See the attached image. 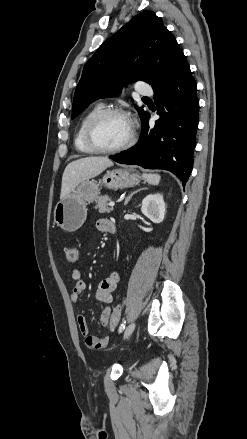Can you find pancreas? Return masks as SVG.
Instances as JSON below:
<instances>
[{"mask_svg": "<svg viewBox=\"0 0 247 439\" xmlns=\"http://www.w3.org/2000/svg\"><path fill=\"white\" fill-rule=\"evenodd\" d=\"M108 201H110L109 196H101L96 201L95 209L100 213H110L113 209L108 206Z\"/></svg>", "mask_w": 247, "mask_h": 439, "instance_id": "cf45deb5", "label": "pancreas"}]
</instances>
